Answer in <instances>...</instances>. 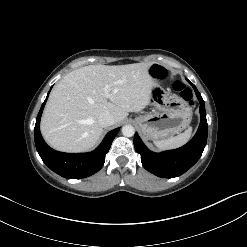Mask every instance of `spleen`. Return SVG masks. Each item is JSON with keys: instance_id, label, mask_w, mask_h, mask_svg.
<instances>
[{"instance_id": "1", "label": "spleen", "mask_w": 247, "mask_h": 247, "mask_svg": "<svg viewBox=\"0 0 247 247\" xmlns=\"http://www.w3.org/2000/svg\"><path fill=\"white\" fill-rule=\"evenodd\" d=\"M191 133L192 128H189L182 134L175 137L164 140H156L154 141V145L160 150L175 149L187 143L191 137Z\"/></svg>"}]
</instances>
